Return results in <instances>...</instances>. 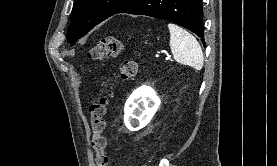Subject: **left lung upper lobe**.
<instances>
[{"mask_svg":"<svg viewBox=\"0 0 277 166\" xmlns=\"http://www.w3.org/2000/svg\"><path fill=\"white\" fill-rule=\"evenodd\" d=\"M133 0H75L67 39L74 44L94 26L116 14Z\"/></svg>","mask_w":277,"mask_h":166,"instance_id":"1","label":"left lung upper lobe"}]
</instances>
